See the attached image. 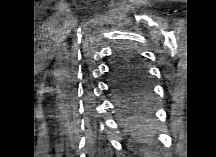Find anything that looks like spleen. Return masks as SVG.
I'll list each match as a JSON object with an SVG mask.
<instances>
[{
    "instance_id": "obj_1",
    "label": "spleen",
    "mask_w": 216,
    "mask_h": 157,
    "mask_svg": "<svg viewBox=\"0 0 216 157\" xmlns=\"http://www.w3.org/2000/svg\"><path fill=\"white\" fill-rule=\"evenodd\" d=\"M140 141L142 143H147V144H150L153 139H152V136L150 133L146 132L145 133V136H144V139H140ZM143 152L146 154V155H150V152H149V148L148 147H144L143 148Z\"/></svg>"
}]
</instances>
